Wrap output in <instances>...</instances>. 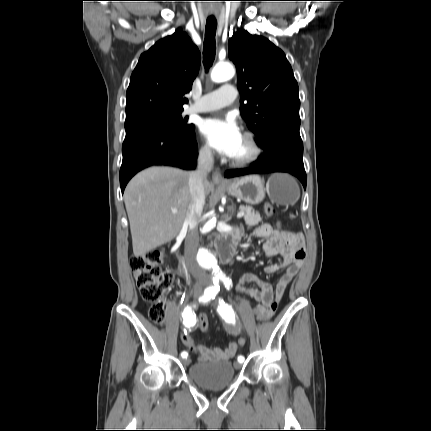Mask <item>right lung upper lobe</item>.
<instances>
[{"mask_svg": "<svg viewBox=\"0 0 431 431\" xmlns=\"http://www.w3.org/2000/svg\"><path fill=\"white\" fill-rule=\"evenodd\" d=\"M201 56L181 29L144 52L126 93V120L157 112L183 110V97L192 88Z\"/></svg>", "mask_w": 431, "mask_h": 431, "instance_id": "1", "label": "right lung upper lobe"}]
</instances>
